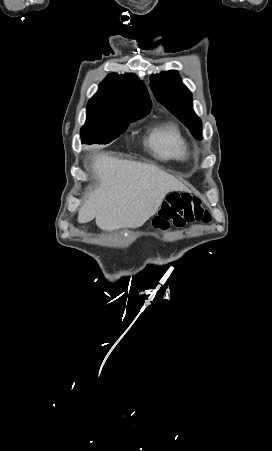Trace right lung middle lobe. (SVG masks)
<instances>
[{"label":"right lung middle lobe","mask_w":272,"mask_h":451,"mask_svg":"<svg viewBox=\"0 0 272 451\" xmlns=\"http://www.w3.org/2000/svg\"><path fill=\"white\" fill-rule=\"evenodd\" d=\"M151 108L130 110H88L87 120L80 130L84 144H107L127 128L130 122L149 114Z\"/></svg>","instance_id":"obj_1"}]
</instances>
